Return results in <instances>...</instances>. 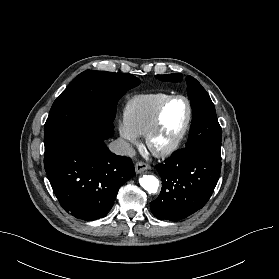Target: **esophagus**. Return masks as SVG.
<instances>
[{
	"label": "esophagus",
	"mask_w": 279,
	"mask_h": 279,
	"mask_svg": "<svg viewBox=\"0 0 279 279\" xmlns=\"http://www.w3.org/2000/svg\"><path fill=\"white\" fill-rule=\"evenodd\" d=\"M150 168V165L144 162H137L135 164V171L138 174L143 173L144 171L149 170Z\"/></svg>",
	"instance_id": "obj_1"
}]
</instances>
